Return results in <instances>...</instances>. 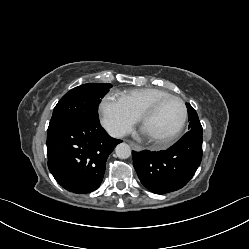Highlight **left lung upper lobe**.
<instances>
[{"label":"left lung upper lobe","mask_w":249,"mask_h":249,"mask_svg":"<svg viewBox=\"0 0 249 249\" xmlns=\"http://www.w3.org/2000/svg\"><path fill=\"white\" fill-rule=\"evenodd\" d=\"M186 106L188 109V116L190 121L188 126L189 131L187 133H202V126L196 111L189 103H186Z\"/></svg>","instance_id":"5c2ea615"}]
</instances>
